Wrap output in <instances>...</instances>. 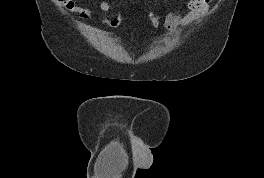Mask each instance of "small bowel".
I'll return each instance as SVG.
<instances>
[{"label":"small bowel","instance_id":"obj_1","mask_svg":"<svg viewBox=\"0 0 264 178\" xmlns=\"http://www.w3.org/2000/svg\"><path fill=\"white\" fill-rule=\"evenodd\" d=\"M211 1L212 0H189L184 11L170 12L164 17V28L172 32L180 27L191 24L208 11ZM69 8L83 19H90L93 15V9L90 7L73 5ZM99 8L105 14L111 12V6L106 1H102Z\"/></svg>","mask_w":264,"mask_h":178}]
</instances>
